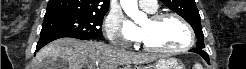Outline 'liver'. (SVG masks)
Instances as JSON below:
<instances>
[{
  "label": "liver",
  "mask_w": 246,
  "mask_h": 69,
  "mask_svg": "<svg viewBox=\"0 0 246 69\" xmlns=\"http://www.w3.org/2000/svg\"><path fill=\"white\" fill-rule=\"evenodd\" d=\"M50 57V61L46 59ZM155 55L134 53L97 41L61 38L43 47L36 55L35 69H55L58 60L68 63V69H117L127 64L150 63ZM54 67H48V64Z\"/></svg>",
  "instance_id": "6515ba94"
}]
</instances>
